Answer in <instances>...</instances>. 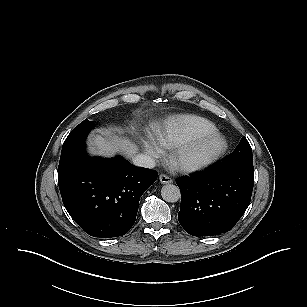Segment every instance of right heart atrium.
Returning a JSON list of instances; mask_svg holds the SVG:
<instances>
[{"label":"right heart atrium","instance_id":"right-heart-atrium-1","mask_svg":"<svg viewBox=\"0 0 307 307\" xmlns=\"http://www.w3.org/2000/svg\"><path fill=\"white\" fill-rule=\"evenodd\" d=\"M142 146L145 153L151 158H156L161 153L159 146L155 142L144 140L142 141Z\"/></svg>","mask_w":307,"mask_h":307}]
</instances>
